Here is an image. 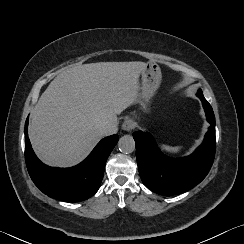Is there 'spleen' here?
Masks as SVG:
<instances>
[{"mask_svg":"<svg viewBox=\"0 0 244 244\" xmlns=\"http://www.w3.org/2000/svg\"><path fill=\"white\" fill-rule=\"evenodd\" d=\"M161 150L169 155L178 154L182 150V146H170L166 144H160Z\"/></svg>","mask_w":244,"mask_h":244,"instance_id":"spleen-1","label":"spleen"}]
</instances>
